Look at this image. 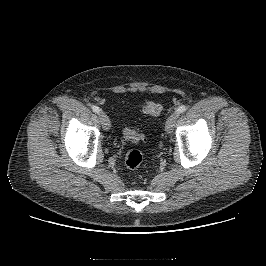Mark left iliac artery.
<instances>
[{
    "label": "left iliac artery",
    "instance_id": "obj_1",
    "mask_svg": "<svg viewBox=\"0 0 266 266\" xmlns=\"http://www.w3.org/2000/svg\"><path fill=\"white\" fill-rule=\"evenodd\" d=\"M187 107L185 105H181L177 110L176 112L178 114H181V113H184L186 111Z\"/></svg>",
    "mask_w": 266,
    "mask_h": 266
}]
</instances>
